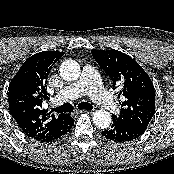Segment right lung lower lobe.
<instances>
[{"mask_svg":"<svg viewBox=\"0 0 174 174\" xmlns=\"http://www.w3.org/2000/svg\"><path fill=\"white\" fill-rule=\"evenodd\" d=\"M73 123H74V120L72 121V123L70 124V126H68V128L66 130H63L60 134L56 135L55 137H53L51 139H47V140H44V141H41V142H49V141L51 142L53 140H57L58 138L64 136L71 129Z\"/></svg>","mask_w":174,"mask_h":174,"instance_id":"obj_1","label":"right lung lower lobe"}]
</instances>
